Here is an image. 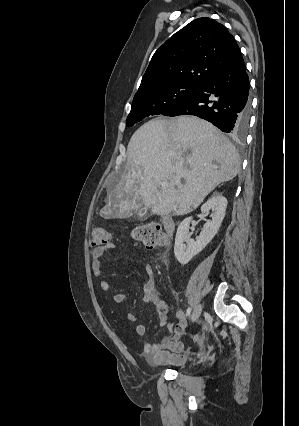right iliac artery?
I'll use <instances>...</instances> for the list:
<instances>
[{"label": "right iliac artery", "instance_id": "obj_1", "mask_svg": "<svg viewBox=\"0 0 299 426\" xmlns=\"http://www.w3.org/2000/svg\"><path fill=\"white\" fill-rule=\"evenodd\" d=\"M190 313H191V307H189V308L187 309V311H186V316H189V315H190Z\"/></svg>", "mask_w": 299, "mask_h": 426}]
</instances>
